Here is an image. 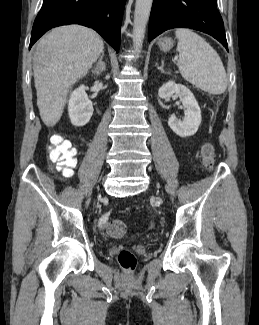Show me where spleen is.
<instances>
[{
	"instance_id": "3e777b00",
	"label": "spleen",
	"mask_w": 259,
	"mask_h": 325,
	"mask_svg": "<svg viewBox=\"0 0 259 325\" xmlns=\"http://www.w3.org/2000/svg\"><path fill=\"white\" fill-rule=\"evenodd\" d=\"M175 35L182 77L210 94L224 93L227 89L226 71L213 47L190 29H177Z\"/></svg>"
}]
</instances>
